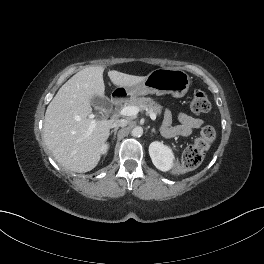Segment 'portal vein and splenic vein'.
Wrapping results in <instances>:
<instances>
[{
	"instance_id": "portal-vein-and-splenic-vein-1",
	"label": "portal vein and splenic vein",
	"mask_w": 264,
	"mask_h": 264,
	"mask_svg": "<svg viewBox=\"0 0 264 264\" xmlns=\"http://www.w3.org/2000/svg\"><path fill=\"white\" fill-rule=\"evenodd\" d=\"M139 108L136 106H125L120 110V115L122 116H136L139 113ZM150 118L155 121L156 120V114L151 111L148 110ZM89 118L91 119V125L89 127V131L92 132L93 128L95 127L96 124V120L94 119V115L91 114L89 116Z\"/></svg>"
}]
</instances>
